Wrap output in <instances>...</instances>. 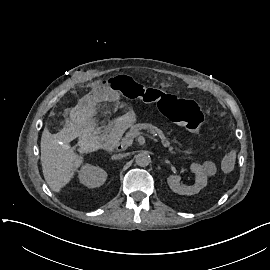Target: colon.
<instances>
[{"label":"colon","instance_id":"obj_1","mask_svg":"<svg viewBox=\"0 0 270 270\" xmlns=\"http://www.w3.org/2000/svg\"><path fill=\"white\" fill-rule=\"evenodd\" d=\"M110 86L127 98L140 99L147 105L156 104L163 115L188 131L196 132L202 128L204 118L194 100L145 87L128 76L112 78ZM219 170L224 175L233 174L236 170L235 156L231 153L222 154Z\"/></svg>","mask_w":270,"mask_h":270}]
</instances>
